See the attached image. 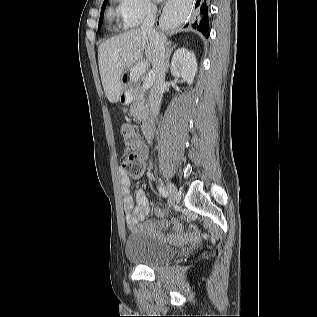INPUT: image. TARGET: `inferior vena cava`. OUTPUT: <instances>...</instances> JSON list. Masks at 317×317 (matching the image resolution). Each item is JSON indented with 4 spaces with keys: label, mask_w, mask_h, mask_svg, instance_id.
<instances>
[{
    "label": "inferior vena cava",
    "mask_w": 317,
    "mask_h": 317,
    "mask_svg": "<svg viewBox=\"0 0 317 317\" xmlns=\"http://www.w3.org/2000/svg\"><path fill=\"white\" fill-rule=\"evenodd\" d=\"M157 7L155 5H148L147 15L144 19L141 30L147 34L150 42L153 45L155 53L154 63V84L149 95L150 111L153 118L157 119L160 111L161 100L163 96V89L165 83V73L167 70L166 54L164 43L159 34L154 30V22L156 18Z\"/></svg>",
    "instance_id": "602c4592"
}]
</instances>
